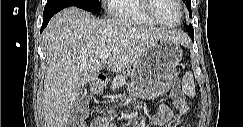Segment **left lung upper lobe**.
I'll list each match as a JSON object with an SVG mask.
<instances>
[{"instance_id": "obj_1", "label": "left lung upper lobe", "mask_w": 243, "mask_h": 127, "mask_svg": "<svg viewBox=\"0 0 243 127\" xmlns=\"http://www.w3.org/2000/svg\"><path fill=\"white\" fill-rule=\"evenodd\" d=\"M189 10V16L192 17V14H191V0H183ZM186 28H193V26L190 24V25H186Z\"/></svg>"}]
</instances>
